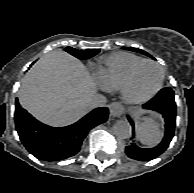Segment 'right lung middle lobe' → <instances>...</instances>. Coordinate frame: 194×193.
Masks as SVG:
<instances>
[{
	"mask_svg": "<svg viewBox=\"0 0 194 193\" xmlns=\"http://www.w3.org/2000/svg\"><path fill=\"white\" fill-rule=\"evenodd\" d=\"M65 50L79 59L91 58L100 51L99 49L77 50L72 47H67Z\"/></svg>",
	"mask_w": 194,
	"mask_h": 193,
	"instance_id": "1",
	"label": "right lung middle lobe"
}]
</instances>
